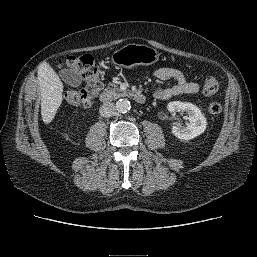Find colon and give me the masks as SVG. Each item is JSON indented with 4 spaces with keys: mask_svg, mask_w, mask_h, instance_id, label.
<instances>
[{
    "mask_svg": "<svg viewBox=\"0 0 257 257\" xmlns=\"http://www.w3.org/2000/svg\"><path fill=\"white\" fill-rule=\"evenodd\" d=\"M60 67L73 69L80 73L86 81V86L81 90H68L65 92L66 101L74 106L87 107L101 89L102 84L99 78V68L93 57L89 54L81 56H70L59 62ZM219 89V83L214 77H208L203 84V92L206 95H213ZM212 115H218L222 111V104L219 101H212L208 107Z\"/></svg>",
    "mask_w": 257,
    "mask_h": 257,
    "instance_id": "obj_1",
    "label": "colon"
}]
</instances>
